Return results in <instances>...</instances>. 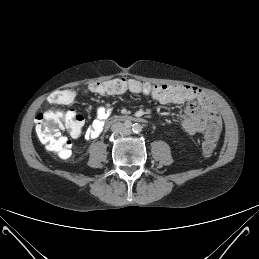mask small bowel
<instances>
[{"label":"small bowel","mask_w":259,"mask_h":259,"mask_svg":"<svg viewBox=\"0 0 259 259\" xmlns=\"http://www.w3.org/2000/svg\"><path fill=\"white\" fill-rule=\"evenodd\" d=\"M199 91L200 96L195 101L184 100L179 103H167L186 104L185 116L182 120V127L189 135L202 133L206 131L211 124L216 125L219 129L221 126V118L217 110L213 107V105H211L207 96L201 90ZM154 99L162 103L157 98ZM109 115L110 109L106 106L100 105L96 109V118L91 126L84 132V137L88 140L96 139L103 132L105 120Z\"/></svg>","instance_id":"obj_1"}]
</instances>
